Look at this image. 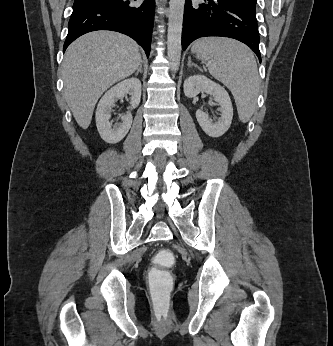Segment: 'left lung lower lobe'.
I'll list each match as a JSON object with an SVG mask.
<instances>
[{"label":"left lung lower lobe","mask_w":333,"mask_h":346,"mask_svg":"<svg viewBox=\"0 0 333 346\" xmlns=\"http://www.w3.org/2000/svg\"><path fill=\"white\" fill-rule=\"evenodd\" d=\"M207 36L229 37L248 45L258 56L259 32L254 9L234 0H204L201 4L185 1L182 48Z\"/></svg>","instance_id":"1"}]
</instances>
